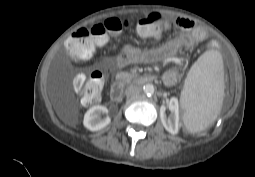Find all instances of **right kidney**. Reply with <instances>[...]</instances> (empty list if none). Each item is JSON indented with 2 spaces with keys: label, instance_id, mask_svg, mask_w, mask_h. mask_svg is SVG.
Instances as JSON below:
<instances>
[{
  "label": "right kidney",
  "instance_id": "1",
  "mask_svg": "<svg viewBox=\"0 0 255 177\" xmlns=\"http://www.w3.org/2000/svg\"><path fill=\"white\" fill-rule=\"evenodd\" d=\"M101 113H108L105 106L97 105L91 107L84 115L83 124L90 131H98L106 127L111 119L110 117L101 118Z\"/></svg>",
  "mask_w": 255,
  "mask_h": 177
}]
</instances>
